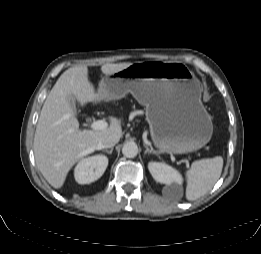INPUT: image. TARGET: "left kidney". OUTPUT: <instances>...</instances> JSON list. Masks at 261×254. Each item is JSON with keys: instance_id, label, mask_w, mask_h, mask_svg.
I'll list each match as a JSON object with an SVG mask.
<instances>
[{"instance_id": "5707ae66", "label": "left kidney", "mask_w": 261, "mask_h": 254, "mask_svg": "<svg viewBox=\"0 0 261 254\" xmlns=\"http://www.w3.org/2000/svg\"><path fill=\"white\" fill-rule=\"evenodd\" d=\"M148 169L152 177L159 183L181 185L183 182L182 175L175 168L165 163L149 162Z\"/></svg>"}]
</instances>
